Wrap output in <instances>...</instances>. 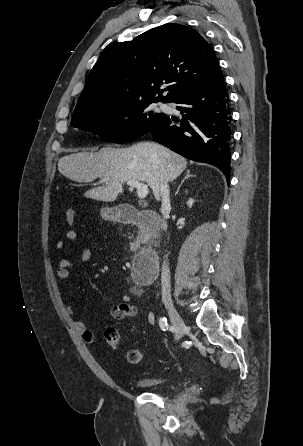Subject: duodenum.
<instances>
[{
	"mask_svg": "<svg viewBox=\"0 0 303 446\" xmlns=\"http://www.w3.org/2000/svg\"><path fill=\"white\" fill-rule=\"evenodd\" d=\"M119 222L133 224L149 234H155L160 226L161 218L152 210L140 211L133 207H121L116 212ZM133 272L135 281L144 285L154 280L159 269V258L154 250L138 252L133 259Z\"/></svg>",
	"mask_w": 303,
	"mask_h": 446,
	"instance_id": "obj_1",
	"label": "duodenum"
}]
</instances>
